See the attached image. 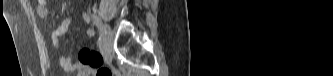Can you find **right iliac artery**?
<instances>
[{"label":"right iliac artery","instance_id":"82829eb1","mask_svg":"<svg viewBox=\"0 0 333 76\" xmlns=\"http://www.w3.org/2000/svg\"><path fill=\"white\" fill-rule=\"evenodd\" d=\"M92 19L94 21V23L96 24V26L98 27V29L100 30V36H99V39H98V46L99 48H102L103 45V38H102V30H101V23L99 22V19L97 18L96 15H92Z\"/></svg>","mask_w":333,"mask_h":76}]
</instances>
